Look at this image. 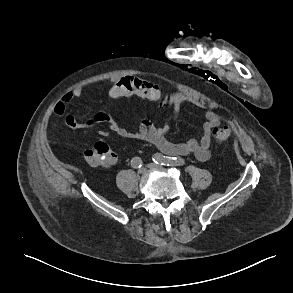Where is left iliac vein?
I'll return each mask as SVG.
<instances>
[{
    "label": "left iliac vein",
    "instance_id": "obj_1",
    "mask_svg": "<svg viewBox=\"0 0 293 293\" xmlns=\"http://www.w3.org/2000/svg\"><path fill=\"white\" fill-rule=\"evenodd\" d=\"M147 167L150 169H162L163 168L160 164H157V163H149L147 165Z\"/></svg>",
    "mask_w": 293,
    "mask_h": 293
}]
</instances>
